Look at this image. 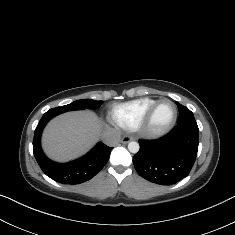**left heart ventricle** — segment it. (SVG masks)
Returning <instances> with one entry per match:
<instances>
[{
	"mask_svg": "<svg viewBox=\"0 0 235 235\" xmlns=\"http://www.w3.org/2000/svg\"><path fill=\"white\" fill-rule=\"evenodd\" d=\"M175 115V108L171 102H161L155 110L152 127L156 130L166 127Z\"/></svg>",
	"mask_w": 235,
	"mask_h": 235,
	"instance_id": "b2bd125f",
	"label": "left heart ventricle"
}]
</instances>
